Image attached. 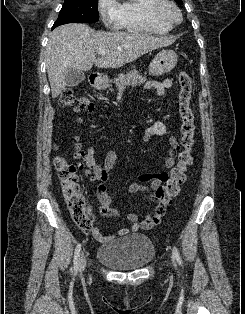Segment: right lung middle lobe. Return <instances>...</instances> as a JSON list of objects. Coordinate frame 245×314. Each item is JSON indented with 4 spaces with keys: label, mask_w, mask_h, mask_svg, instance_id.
Wrapping results in <instances>:
<instances>
[{
    "label": "right lung middle lobe",
    "mask_w": 245,
    "mask_h": 314,
    "mask_svg": "<svg viewBox=\"0 0 245 314\" xmlns=\"http://www.w3.org/2000/svg\"><path fill=\"white\" fill-rule=\"evenodd\" d=\"M98 0H65L53 28L67 23H88L99 20Z\"/></svg>",
    "instance_id": "obj_1"
}]
</instances>
